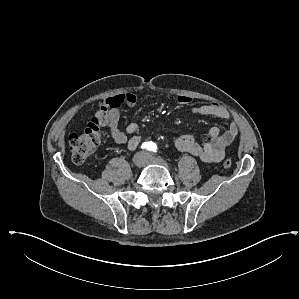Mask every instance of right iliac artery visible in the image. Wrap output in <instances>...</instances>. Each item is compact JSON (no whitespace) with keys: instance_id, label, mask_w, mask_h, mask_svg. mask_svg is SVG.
<instances>
[{"instance_id":"obj_1","label":"right iliac artery","mask_w":299,"mask_h":299,"mask_svg":"<svg viewBox=\"0 0 299 299\" xmlns=\"http://www.w3.org/2000/svg\"><path fill=\"white\" fill-rule=\"evenodd\" d=\"M149 147H150V142H144V143L141 145V148H142V149H145V150H149Z\"/></svg>"}]
</instances>
